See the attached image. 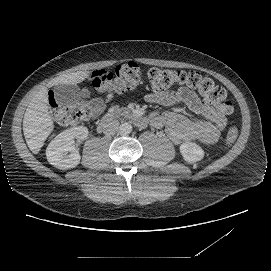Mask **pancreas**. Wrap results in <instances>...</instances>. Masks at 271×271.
<instances>
[{
    "mask_svg": "<svg viewBox=\"0 0 271 271\" xmlns=\"http://www.w3.org/2000/svg\"><path fill=\"white\" fill-rule=\"evenodd\" d=\"M122 110L124 111V110H126V108H122Z\"/></svg>",
    "mask_w": 271,
    "mask_h": 271,
    "instance_id": "1",
    "label": "pancreas"
}]
</instances>
